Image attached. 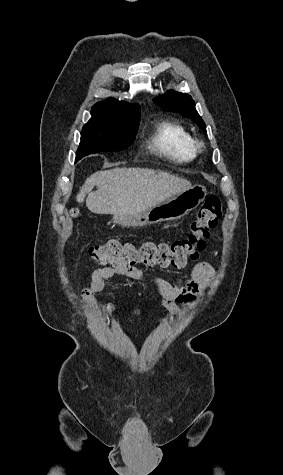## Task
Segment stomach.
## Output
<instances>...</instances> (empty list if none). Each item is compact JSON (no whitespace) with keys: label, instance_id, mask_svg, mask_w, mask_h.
<instances>
[{"label":"stomach","instance_id":"stomach-1","mask_svg":"<svg viewBox=\"0 0 283 475\" xmlns=\"http://www.w3.org/2000/svg\"><path fill=\"white\" fill-rule=\"evenodd\" d=\"M207 196L205 186H192L190 190L177 194L174 198H169L165 202H160L153 208H147L140 214H113L114 224H119L123 228L131 226H147V224H158V222H170L179 220L194 208H197Z\"/></svg>","mask_w":283,"mask_h":475}]
</instances>
